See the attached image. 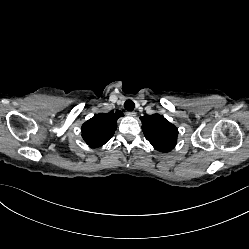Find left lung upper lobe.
I'll use <instances>...</instances> for the list:
<instances>
[{"label": "left lung upper lobe", "mask_w": 249, "mask_h": 249, "mask_svg": "<svg viewBox=\"0 0 249 249\" xmlns=\"http://www.w3.org/2000/svg\"><path fill=\"white\" fill-rule=\"evenodd\" d=\"M145 138L161 152L171 151L176 143L178 129L159 114L144 115L140 118Z\"/></svg>", "instance_id": "5c2ea615"}]
</instances>
